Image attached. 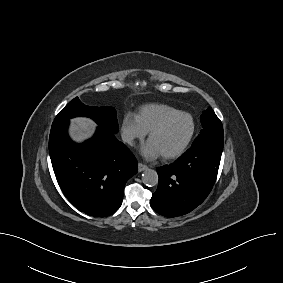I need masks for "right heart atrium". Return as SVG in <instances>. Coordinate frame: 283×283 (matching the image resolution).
Listing matches in <instances>:
<instances>
[{
	"label": "right heart atrium",
	"instance_id": "right-heart-atrium-1",
	"mask_svg": "<svg viewBox=\"0 0 283 283\" xmlns=\"http://www.w3.org/2000/svg\"><path fill=\"white\" fill-rule=\"evenodd\" d=\"M146 133L136 114L132 112L124 114L121 120V136L127 145L133 146L138 140H142Z\"/></svg>",
	"mask_w": 283,
	"mask_h": 283
}]
</instances>
